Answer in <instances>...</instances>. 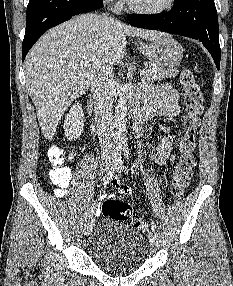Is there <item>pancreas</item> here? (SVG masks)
<instances>
[{
	"label": "pancreas",
	"instance_id": "pancreas-1",
	"mask_svg": "<svg viewBox=\"0 0 233 286\" xmlns=\"http://www.w3.org/2000/svg\"><path fill=\"white\" fill-rule=\"evenodd\" d=\"M178 73L179 70L176 68H165L150 64L148 74L142 76V78L145 81H161L163 78H174Z\"/></svg>",
	"mask_w": 233,
	"mask_h": 286
}]
</instances>
